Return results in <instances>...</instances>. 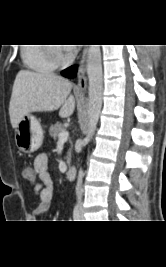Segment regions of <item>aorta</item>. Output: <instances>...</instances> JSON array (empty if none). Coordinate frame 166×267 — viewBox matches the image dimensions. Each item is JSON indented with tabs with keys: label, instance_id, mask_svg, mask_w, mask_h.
Instances as JSON below:
<instances>
[{
	"label": "aorta",
	"instance_id": "1",
	"mask_svg": "<svg viewBox=\"0 0 166 267\" xmlns=\"http://www.w3.org/2000/svg\"><path fill=\"white\" fill-rule=\"evenodd\" d=\"M87 73L89 78L88 134L90 141L95 133L102 107V63L99 45H90L87 56Z\"/></svg>",
	"mask_w": 166,
	"mask_h": 267
}]
</instances>
